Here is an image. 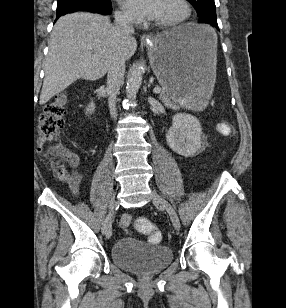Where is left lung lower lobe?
<instances>
[{
	"label": "left lung lower lobe",
	"instance_id": "obj_1",
	"mask_svg": "<svg viewBox=\"0 0 286 308\" xmlns=\"http://www.w3.org/2000/svg\"><path fill=\"white\" fill-rule=\"evenodd\" d=\"M198 23L210 24L219 30V27L217 24L216 11L215 12L211 11L206 14H203L202 16H199Z\"/></svg>",
	"mask_w": 286,
	"mask_h": 308
}]
</instances>
